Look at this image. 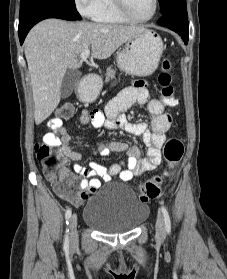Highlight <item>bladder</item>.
I'll return each mask as SVG.
<instances>
[{"label": "bladder", "instance_id": "obj_1", "mask_svg": "<svg viewBox=\"0 0 227 279\" xmlns=\"http://www.w3.org/2000/svg\"><path fill=\"white\" fill-rule=\"evenodd\" d=\"M149 214V208L134 191L124 185L103 187L86 202L83 222L105 234L127 232L141 225Z\"/></svg>", "mask_w": 227, "mask_h": 279}]
</instances>
